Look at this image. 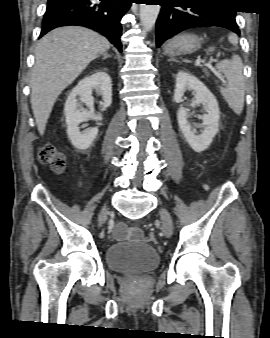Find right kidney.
<instances>
[{"instance_id":"ca27d5eb","label":"right kidney","mask_w":270,"mask_h":338,"mask_svg":"<svg viewBox=\"0 0 270 338\" xmlns=\"http://www.w3.org/2000/svg\"><path fill=\"white\" fill-rule=\"evenodd\" d=\"M93 90L102 96V110H106L112 103V84L110 76L103 70L82 79L70 92L64 107L68 137L80 150L90 147L98 134V128L81 132L78 125L88 119L102 120V116L95 115L92 110ZM82 104H85L89 110L84 109Z\"/></svg>"}]
</instances>
